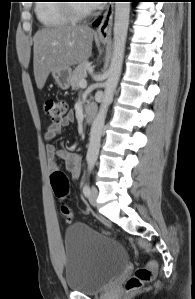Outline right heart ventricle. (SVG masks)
I'll list each match as a JSON object with an SVG mask.
<instances>
[{"mask_svg":"<svg viewBox=\"0 0 195 299\" xmlns=\"http://www.w3.org/2000/svg\"><path fill=\"white\" fill-rule=\"evenodd\" d=\"M35 8L36 16L45 27H60L72 23L73 19L60 0H45Z\"/></svg>","mask_w":195,"mask_h":299,"instance_id":"obj_1","label":"right heart ventricle"}]
</instances>
